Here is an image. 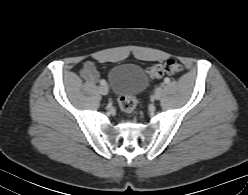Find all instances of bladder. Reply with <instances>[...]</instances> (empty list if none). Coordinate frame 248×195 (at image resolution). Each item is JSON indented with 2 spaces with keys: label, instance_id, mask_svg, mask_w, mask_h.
Here are the masks:
<instances>
[{
  "label": "bladder",
  "instance_id": "bladder-1",
  "mask_svg": "<svg viewBox=\"0 0 248 195\" xmlns=\"http://www.w3.org/2000/svg\"><path fill=\"white\" fill-rule=\"evenodd\" d=\"M109 82L114 93L135 97L145 89L148 79L138 65L119 64L110 70Z\"/></svg>",
  "mask_w": 248,
  "mask_h": 195
}]
</instances>
